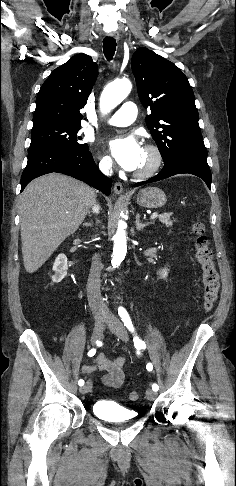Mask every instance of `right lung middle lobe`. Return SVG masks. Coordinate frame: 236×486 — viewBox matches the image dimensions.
<instances>
[{
	"instance_id": "right-lung-middle-lobe-1",
	"label": "right lung middle lobe",
	"mask_w": 236,
	"mask_h": 486,
	"mask_svg": "<svg viewBox=\"0 0 236 486\" xmlns=\"http://www.w3.org/2000/svg\"><path fill=\"white\" fill-rule=\"evenodd\" d=\"M80 125L48 123L33 126L30 148L51 146L64 149H87L88 145L80 142L77 136Z\"/></svg>"
}]
</instances>
